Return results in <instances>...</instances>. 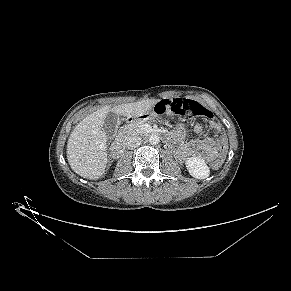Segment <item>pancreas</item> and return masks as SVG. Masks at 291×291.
Here are the masks:
<instances>
[{
	"mask_svg": "<svg viewBox=\"0 0 291 291\" xmlns=\"http://www.w3.org/2000/svg\"><path fill=\"white\" fill-rule=\"evenodd\" d=\"M141 133V124L134 122L128 125H124L120 128L118 135L123 138H128L130 135Z\"/></svg>",
	"mask_w": 291,
	"mask_h": 291,
	"instance_id": "pancreas-1",
	"label": "pancreas"
}]
</instances>
